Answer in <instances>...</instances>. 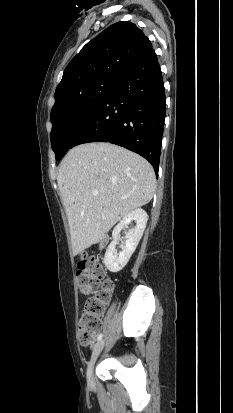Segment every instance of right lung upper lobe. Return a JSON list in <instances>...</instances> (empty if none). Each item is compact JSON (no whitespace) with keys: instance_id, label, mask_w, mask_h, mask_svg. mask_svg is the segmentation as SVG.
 <instances>
[{"instance_id":"cb5924a9","label":"right lung upper lobe","mask_w":233,"mask_h":413,"mask_svg":"<svg viewBox=\"0 0 233 413\" xmlns=\"http://www.w3.org/2000/svg\"><path fill=\"white\" fill-rule=\"evenodd\" d=\"M152 44L131 22H118L88 42L70 61L55 91V100L104 77H117L143 57Z\"/></svg>"}]
</instances>
